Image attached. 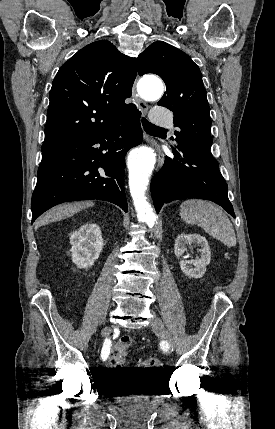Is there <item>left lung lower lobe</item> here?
I'll return each mask as SVG.
<instances>
[{
  "label": "left lung lower lobe",
  "instance_id": "left-lung-lower-lobe-1",
  "mask_svg": "<svg viewBox=\"0 0 275 429\" xmlns=\"http://www.w3.org/2000/svg\"><path fill=\"white\" fill-rule=\"evenodd\" d=\"M173 153L174 158L166 157L162 169L151 181L156 211L177 199L200 198L217 203L235 218L227 184L210 148L190 142L173 148Z\"/></svg>",
  "mask_w": 275,
  "mask_h": 429
}]
</instances>
